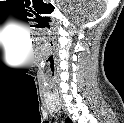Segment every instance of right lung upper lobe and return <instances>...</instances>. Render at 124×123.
I'll list each match as a JSON object with an SVG mask.
<instances>
[{
	"mask_svg": "<svg viewBox=\"0 0 124 123\" xmlns=\"http://www.w3.org/2000/svg\"><path fill=\"white\" fill-rule=\"evenodd\" d=\"M66 122H67V123H71L72 121H71L69 118H67V119H66Z\"/></svg>",
	"mask_w": 124,
	"mask_h": 123,
	"instance_id": "1",
	"label": "right lung upper lobe"
}]
</instances>
